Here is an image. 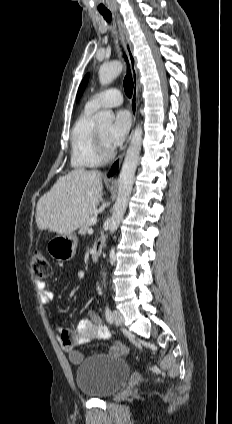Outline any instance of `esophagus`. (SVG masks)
I'll use <instances>...</instances> for the list:
<instances>
[{
    "mask_svg": "<svg viewBox=\"0 0 232 424\" xmlns=\"http://www.w3.org/2000/svg\"><path fill=\"white\" fill-rule=\"evenodd\" d=\"M117 23H118L120 36H121V39L123 41L124 48L126 50L127 57H128V60H129L131 75H132V79H133V83H134L133 94H132V97H131V100H130V108H131V113H132V123H133V126H134V123H135V120H136V115H137V105H138V73H137V66H136L137 60H136L135 54L133 52V46H132V43L130 41L128 31H127L126 27L124 26L122 20L118 16H117ZM132 132H133V128H132L131 133H130L127 141H126V144L123 148V151L112 162L109 169L105 173L106 179L111 180V179H114L116 177V175H117V173L120 169V165H121L123 156L125 154L126 147H127L129 140L131 138Z\"/></svg>",
    "mask_w": 232,
    "mask_h": 424,
    "instance_id": "1",
    "label": "esophagus"
}]
</instances>
